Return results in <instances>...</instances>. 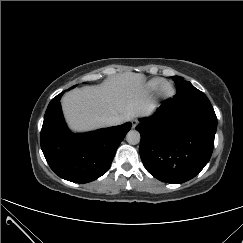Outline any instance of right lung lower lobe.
Masks as SVG:
<instances>
[{"label":"right lung lower lobe","instance_id":"1","mask_svg":"<svg viewBox=\"0 0 243 243\" xmlns=\"http://www.w3.org/2000/svg\"><path fill=\"white\" fill-rule=\"evenodd\" d=\"M64 92L48 105L40 136L41 149L59 177L75 183L91 182L108 171L131 123L84 134L72 133L61 110L60 99Z\"/></svg>","mask_w":243,"mask_h":243}]
</instances>
